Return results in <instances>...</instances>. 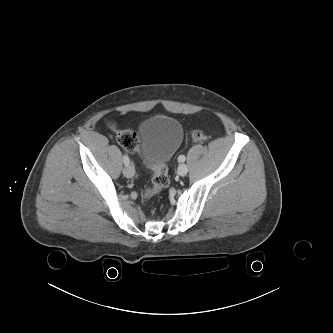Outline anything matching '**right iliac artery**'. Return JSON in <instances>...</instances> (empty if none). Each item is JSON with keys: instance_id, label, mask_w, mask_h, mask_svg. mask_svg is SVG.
<instances>
[{"instance_id": "obj_1", "label": "right iliac artery", "mask_w": 333, "mask_h": 333, "mask_svg": "<svg viewBox=\"0 0 333 333\" xmlns=\"http://www.w3.org/2000/svg\"><path fill=\"white\" fill-rule=\"evenodd\" d=\"M123 162H124L125 166H128L130 164V159H129L128 155L125 154L123 156Z\"/></svg>"}]
</instances>
